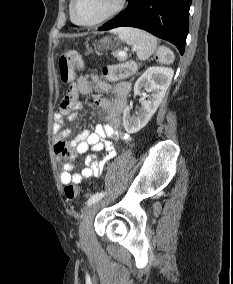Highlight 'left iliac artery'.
I'll list each match as a JSON object with an SVG mask.
<instances>
[{
	"label": "left iliac artery",
	"instance_id": "1",
	"mask_svg": "<svg viewBox=\"0 0 233 284\" xmlns=\"http://www.w3.org/2000/svg\"><path fill=\"white\" fill-rule=\"evenodd\" d=\"M105 195V192H98L94 195H92L88 201H87V205H91L94 204L95 202L99 201L100 199H102Z\"/></svg>",
	"mask_w": 233,
	"mask_h": 284
}]
</instances>
